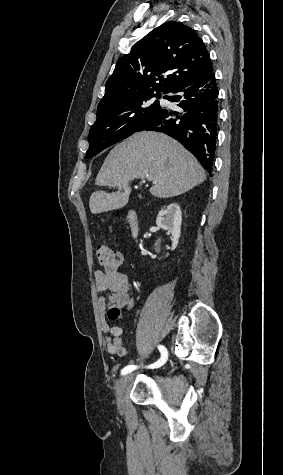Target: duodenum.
I'll list each match as a JSON object with an SVG mask.
<instances>
[{
  "label": "duodenum",
  "instance_id": "410a0bca",
  "mask_svg": "<svg viewBox=\"0 0 283 475\" xmlns=\"http://www.w3.org/2000/svg\"><path fill=\"white\" fill-rule=\"evenodd\" d=\"M127 221L129 223V227H130L132 237L136 238L138 236V232H139V222H138L137 215L134 211H130L127 214Z\"/></svg>",
  "mask_w": 283,
  "mask_h": 475
}]
</instances>
